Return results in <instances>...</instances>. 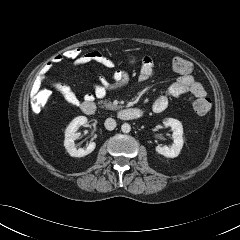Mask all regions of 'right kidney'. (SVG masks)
I'll return each instance as SVG.
<instances>
[{
  "mask_svg": "<svg viewBox=\"0 0 240 240\" xmlns=\"http://www.w3.org/2000/svg\"><path fill=\"white\" fill-rule=\"evenodd\" d=\"M87 123V118L85 116H78L72 120L65 130V141L64 146L67 152L72 157H84L90 154L96 147L95 142H90L86 149H76L74 141L80 137V133L77 132L80 126Z\"/></svg>",
  "mask_w": 240,
  "mask_h": 240,
  "instance_id": "ca27d5eb",
  "label": "right kidney"
}]
</instances>
